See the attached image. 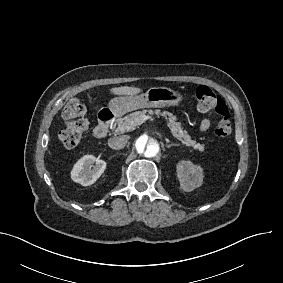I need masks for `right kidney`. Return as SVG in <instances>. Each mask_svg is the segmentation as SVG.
<instances>
[{"mask_svg":"<svg viewBox=\"0 0 283 283\" xmlns=\"http://www.w3.org/2000/svg\"><path fill=\"white\" fill-rule=\"evenodd\" d=\"M105 169V161L93 155H85L74 164L71 179L83 186H89L102 175Z\"/></svg>","mask_w":283,"mask_h":283,"instance_id":"right-kidney-1","label":"right kidney"}]
</instances>
